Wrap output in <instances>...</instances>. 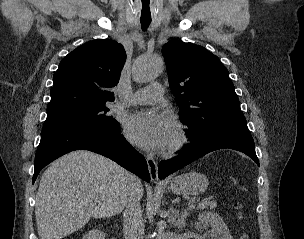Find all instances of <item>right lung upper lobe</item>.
I'll list each match as a JSON object with an SVG mask.
<instances>
[{"label":"right lung upper lobe","instance_id":"cb5924a9","mask_svg":"<svg viewBox=\"0 0 304 239\" xmlns=\"http://www.w3.org/2000/svg\"><path fill=\"white\" fill-rule=\"evenodd\" d=\"M126 60L123 46L109 39L87 42L69 53L53 76L47 116L104 106Z\"/></svg>","mask_w":304,"mask_h":239}]
</instances>
